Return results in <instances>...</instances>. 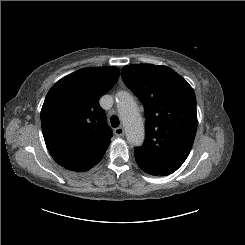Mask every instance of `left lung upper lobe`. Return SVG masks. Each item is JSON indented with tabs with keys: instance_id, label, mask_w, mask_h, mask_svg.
Instances as JSON below:
<instances>
[{
	"instance_id": "obj_1",
	"label": "left lung upper lobe",
	"mask_w": 245,
	"mask_h": 245,
	"mask_svg": "<svg viewBox=\"0 0 245 245\" xmlns=\"http://www.w3.org/2000/svg\"><path fill=\"white\" fill-rule=\"evenodd\" d=\"M121 76L145 107V141L135 148V157L151 165L178 169L190 153L197 129L192 87L163 65H127Z\"/></svg>"
}]
</instances>
